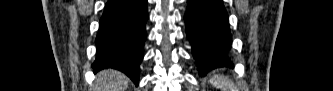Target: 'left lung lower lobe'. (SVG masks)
Returning <instances> with one entry per match:
<instances>
[{
  "instance_id": "left-lung-lower-lobe-1",
  "label": "left lung lower lobe",
  "mask_w": 333,
  "mask_h": 91,
  "mask_svg": "<svg viewBox=\"0 0 333 91\" xmlns=\"http://www.w3.org/2000/svg\"><path fill=\"white\" fill-rule=\"evenodd\" d=\"M184 16L187 38L201 76L220 67H232L229 18L222 0H188Z\"/></svg>"
}]
</instances>
